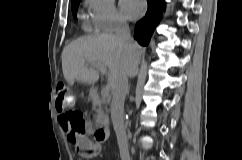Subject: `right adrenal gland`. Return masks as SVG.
Returning <instances> with one entry per match:
<instances>
[{"label": "right adrenal gland", "instance_id": "obj_1", "mask_svg": "<svg viewBox=\"0 0 242 160\" xmlns=\"http://www.w3.org/2000/svg\"><path fill=\"white\" fill-rule=\"evenodd\" d=\"M130 87L128 88L127 94L129 95Z\"/></svg>", "mask_w": 242, "mask_h": 160}]
</instances>
